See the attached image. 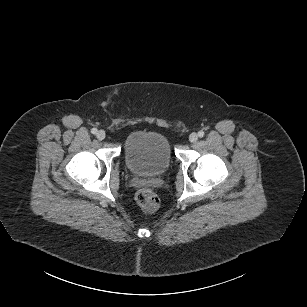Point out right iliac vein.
<instances>
[{"mask_svg": "<svg viewBox=\"0 0 307 307\" xmlns=\"http://www.w3.org/2000/svg\"><path fill=\"white\" fill-rule=\"evenodd\" d=\"M97 138L99 139V140H103V139H105V137H106V134H105V132L103 131V130H100V131H98V133H97Z\"/></svg>", "mask_w": 307, "mask_h": 307, "instance_id": "1", "label": "right iliac vein"}]
</instances>
